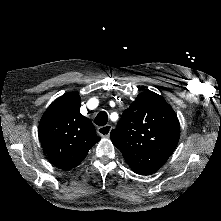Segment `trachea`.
<instances>
[{"label": "trachea", "mask_w": 221, "mask_h": 221, "mask_svg": "<svg viewBox=\"0 0 221 221\" xmlns=\"http://www.w3.org/2000/svg\"><path fill=\"white\" fill-rule=\"evenodd\" d=\"M108 122V114L105 111H101L98 113V115L95 117V123L98 126H104Z\"/></svg>", "instance_id": "obj_1"}]
</instances>
